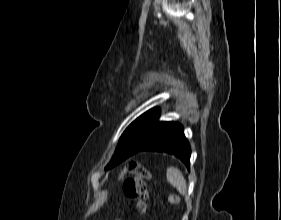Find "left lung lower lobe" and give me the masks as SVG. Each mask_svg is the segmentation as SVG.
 I'll return each instance as SVG.
<instances>
[{
    "label": "left lung lower lobe",
    "mask_w": 281,
    "mask_h": 220,
    "mask_svg": "<svg viewBox=\"0 0 281 220\" xmlns=\"http://www.w3.org/2000/svg\"><path fill=\"white\" fill-rule=\"evenodd\" d=\"M139 151L169 153L178 157L188 168L190 165L191 148L179 123L161 122L152 138Z\"/></svg>",
    "instance_id": "left-lung-lower-lobe-1"
}]
</instances>
